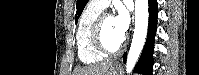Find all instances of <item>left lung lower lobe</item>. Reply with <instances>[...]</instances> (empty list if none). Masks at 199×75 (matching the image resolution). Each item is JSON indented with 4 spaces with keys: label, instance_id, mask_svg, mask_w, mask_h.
<instances>
[{
    "label": "left lung lower lobe",
    "instance_id": "0a47b994",
    "mask_svg": "<svg viewBox=\"0 0 199 75\" xmlns=\"http://www.w3.org/2000/svg\"><path fill=\"white\" fill-rule=\"evenodd\" d=\"M149 3V29L148 37L141 54V57L134 68V72L141 73L143 75H152L153 70V51H154V37L157 28V15L158 7L157 0H148ZM125 53L123 55V61L126 62Z\"/></svg>",
    "mask_w": 199,
    "mask_h": 75
}]
</instances>
